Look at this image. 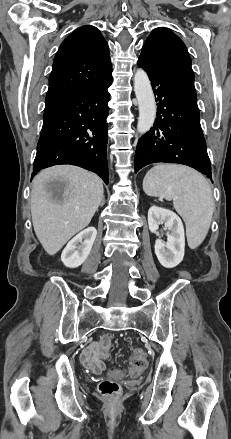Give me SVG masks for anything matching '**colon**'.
<instances>
[{
  "label": "colon",
  "instance_id": "colon-1",
  "mask_svg": "<svg viewBox=\"0 0 231 439\" xmlns=\"http://www.w3.org/2000/svg\"><path fill=\"white\" fill-rule=\"evenodd\" d=\"M100 354L103 358H106L111 349V339L105 335L100 340ZM148 366V360L145 352L136 348L133 350L130 367L128 368V374L130 376H138ZM98 390L100 394L106 398H116L120 392L121 387L118 382L111 379H101L98 383Z\"/></svg>",
  "mask_w": 231,
  "mask_h": 439
}]
</instances>
